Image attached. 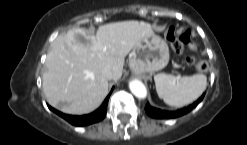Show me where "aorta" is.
Here are the masks:
<instances>
[{"label": "aorta", "instance_id": "1", "mask_svg": "<svg viewBox=\"0 0 247 145\" xmlns=\"http://www.w3.org/2000/svg\"><path fill=\"white\" fill-rule=\"evenodd\" d=\"M131 92L139 99H144L147 96V89L145 85L139 80H131L129 83Z\"/></svg>", "mask_w": 247, "mask_h": 145}]
</instances>
